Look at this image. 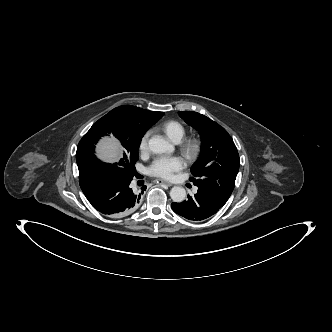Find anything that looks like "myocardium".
Instances as JSON below:
<instances>
[{"instance_id":"myocardium-1","label":"myocardium","mask_w":332,"mask_h":332,"mask_svg":"<svg viewBox=\"0 0 332 332\" xmlns=\"http://www.w3.org/2000/svg\"><path fill=\"white\" fill-rule=\"evenodd\" d=\"M202 140L197 137L184 139L180 144V150L184 157L193 161L197 159L202 151Z\"/></svg>"}]
</instances>
